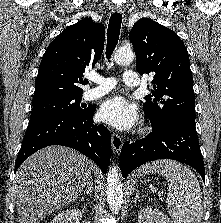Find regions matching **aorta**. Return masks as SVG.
<instances>
[{
  "label": "aorta",
  "instance_id": "1",
  "mask_svg": "<svg viewBox=\"0 0 221 223\" xmlns=\"http://www.w3.org/2000/svg\"><path fill=\"white\" fill-rule=\"evenodd\" d=\"M134 60V53L130 49H118L114 61L119 65L129 64ZM107 202L110 209L117 213L123 202L122 180L119 168L115 165L109 168L106 181Z\"/></svg>",
  "mask_w": 221,
  "mask_h": 223
}]
</instances>
